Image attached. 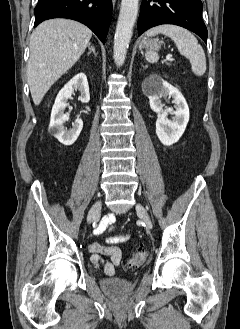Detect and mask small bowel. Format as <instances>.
<instances>
[{
	"mask_svg": "<svg viewBox=\"0 0 240 329\" xmlns=\"http://www.w3.org/2000/svg\"><path fill=\"white\" fill-rule=\"evenodd\" d=\"M115 221L113 214H108L97 228V233L109 231L112 229V224ZM126 238L125 235H117L109 238V242L119 243ZM91 253L90 260L95 267H101L103 272L108 276H113L116 273L117 267L122 260V254L118 247L114 245H102L99 243H91L89 245ZM108 258V260L105 259Z\"/></svg>",
	"mask_w": 240,
	"mask_h": 329,
	"instance_id": "1",
	"label": "small bowel"
}]
</instances>
